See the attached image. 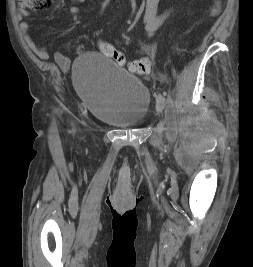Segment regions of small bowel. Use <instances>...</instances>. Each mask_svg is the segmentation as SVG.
<instances>
[{
	"mask_svg": "<svg viewBox=\"0 0 253 267\" xmlns=\"http://www.w3.org/2000/svg\"><path fill=\"white\" fill-rule=\"evenodd\" d=\"M76 3H84L86 0H72ZM160 0H146L145 12H144V24L149 35L154 34V32L171 16L172 12L167 11L161 15L157 14L158 5ZM80 11L78 5H72L70 7V12L72 14H77ZM20 29L24 35V39L28 47L40 58L48 59L49 54L44 47L38 45L34 39L29 34L30 25L26 21L20 23ZM85 50L83 45H78L77 52L79 54L83 53ZM55 59L61 66L65 67L68 65V60L60 53L55 54Z\"/></svg>",
	"mask_w": 253,
	"mask_h": 267,
	"instance_id": "small-bowel-1",
	"label": "small bowel"
}]
</instances>
